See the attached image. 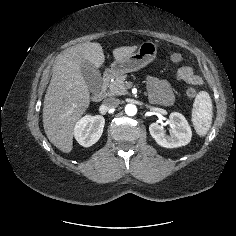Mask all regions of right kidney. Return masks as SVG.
<instances>
[{
	"mask_svg": "<svg viewBox=\"0 0 236 236\" xmlns=\"http://www.w3.org/2000/svg\"><path fill=\"white\" fill-rule=\"evenodd\" d=\"M104 125L105 119L103 116L86 115L76 123L74 136L80 145L90 147L101 137Z\"/></svg>",
	"mask_w": 236,
	"mask_h": 236,
	"instance_id": "1",
	"label": "right kidney"
}]
</instances>
